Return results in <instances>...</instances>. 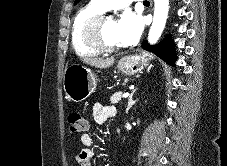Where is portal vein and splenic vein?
<instances>
[{
    "mask_svg": "<svg viewBox=\"0 0 227 166\" xmlns=\"http://www.w3.org/2000/svg\"><path fill=\"white\" fill-rule=\"evenodd\" d=\"M129 96V93L123 94V98H127Z\"/></svg>",
    "mask_w": 227,
    "mask_h": 166,
    "instance_id": "portal-vein-and-splenic-vein-1",
    "label": "portal vein and splenic vein"
}]
</instances>
